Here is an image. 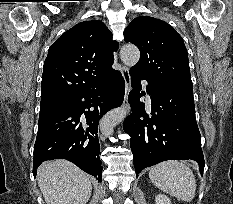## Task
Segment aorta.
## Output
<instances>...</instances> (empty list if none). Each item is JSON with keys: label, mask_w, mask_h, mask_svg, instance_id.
Returning <instances> with one entry per match:
<instances>
[{"label": "aorta", "mask_w": 233, "mask_h": 204, "mask_svg": "<svg viewBox=\"0 0 233 204\" xmlns=\"http://www.w3.org/2000/svg\"><path fill=\"white\" fill-rule=\"evenodd\" d=\"M120 57L123 63L129 67L137 64L140 58V52L134 45H125L121 48ZM126 116L124 108H116L109 111L100 122V130L107 137L113 134L114 127L119 124Z\"/></svg>", "instance_id": "1"}]
</instances>
